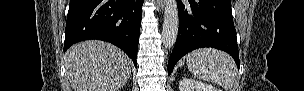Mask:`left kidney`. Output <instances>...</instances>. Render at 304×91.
Instances as JSON below:
<instances>
[{
  "label": "left kidney",
  "mask_w": 304,
  "mask_h": 91,
  "mask_svg": "<svg viewBox=\"0 0 304 91\" xmlns=\"http://www.w3.org/2000/svg\"><path fill=\"white\" fill-rule=\"evenodd\" d=\"M180 91H220L216 87L198 82L190 78H183L179 81Z\"/></svg>",
  "instance_id": "obj_1"
}]
</instances>
